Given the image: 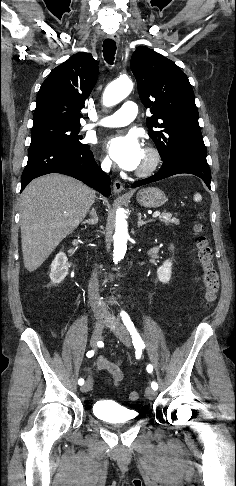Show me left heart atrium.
Segmentation results:
<instances>
[{"instance_id":"1","label":"left heart atrium","mask_w":236,"mask_h":486,"mask_svg":"<svg viewBox=\"0 0 236 486\" xmlns=\"http://www.w3.org/2000/svg\"><path fill=\"white\" fill-rule=\"evenodd\" d=\"M105 148L119 167L129 171L140 166L144 155V150L135 134L112 137L106 142Z\"/></svg>"}]
</instances>
